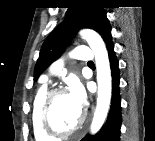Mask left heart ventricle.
<instances>
[{
  "label": "left heart ventricle",
  "instance_id": "b2bd125f",
  "mask_svg": "<svg viewBox=\"0 0 155 141\" xmlns=\"http://www.w3.org/2000/svg\"><path fill=\"white\" fill-rule=\"evenodd\" d=\"M82 112L73 104L68 93L57 95L51 104L50 120L58 129L70 130L80 121Z\"/></svg>",
  "mask_w": 155,
  "mask_h": 141
}]
</instances>
